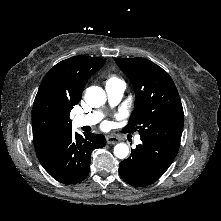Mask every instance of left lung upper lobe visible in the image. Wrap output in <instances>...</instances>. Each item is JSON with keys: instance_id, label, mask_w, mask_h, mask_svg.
Masks as SVG:
<instances>
[{"instance_id": "5c2ea615", "label": "left lung upper lobe", "mask_w": 221, "mask_h": 221, "mask_svg": "<svg viewBox=\"0 0 221 221\" xmlns=\"http://www.w3.org/2000/svg\"><path fill=\"white\" fill-rule=\"evenodd\" d=\"M132 82L135 109L124 131L180 145L184 113L175 84L161 67L144 58L115 59Z\"/></svg>"}]
</instances>
